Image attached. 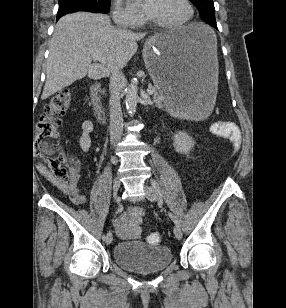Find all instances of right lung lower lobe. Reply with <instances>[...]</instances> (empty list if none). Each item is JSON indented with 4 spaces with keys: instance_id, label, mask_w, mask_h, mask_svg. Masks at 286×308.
<instances>
[{
    "instance_id": "obj_1",
    "label": "right lung lower lobe",
    "mask_w": 286,
    "mask_h": 308,
    "mask_svg": "<svg viewBox=\"0 0 286 308\" xmlns=\"http://www.w3.org/2000/svg\"><path fill=\"white\" fill-rule=\"evenodd\" d=\"M74 11H89V12H99V13H106L101 10L96 9H82V10H66V11H59L57 14V19H59L61 16H63L66 13L74 12Z\"/></svg>"
}]
</instances>
